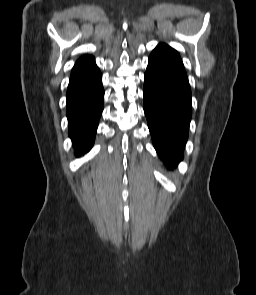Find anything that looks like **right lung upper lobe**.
Listing matches in <instances>:
<instances>
[{"label": "right lung upper lobe", "instance_id": "1", "mask_svg": "<svg viewBox=\"0 0 256 295\" xmlns=\"http://www.w3.org/2000/svg\"><path fill=\"white\" fill-rule=\"evenodd\" d=\"M83 57H87V55H85V56H83ZM83 57H81V58H83Z\"/></svg>", "mask_w": 256, "mask_h": 295}]
</instances>
